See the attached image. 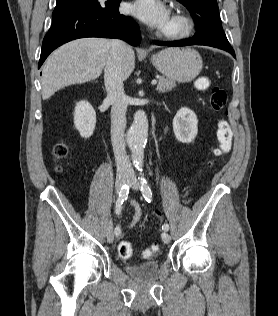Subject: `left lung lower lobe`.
<instances>
[{
  "label": "left lung lower lobe",
  "instance_id": "obj_1",
  "mask_svg": "<svg viewBox=\"0 0 278 316\" xmlns=\"http://www.w3.org/2000/svg\"><path fill=\"white\" fill-rule=\"evenodd\" d=\"M154 43L157 45H165V46L207 45V46L223 49V50L229 52L233 57H235V53H234V50L232 48H225V47L217 46L214 44L205 43V42H202V41L197 40L195 38H188V39H184L181 41H175V42L154 41Z\"/></svg>",
  "mask_w": 278,
  "mask_h": 316
}]
</instances>
